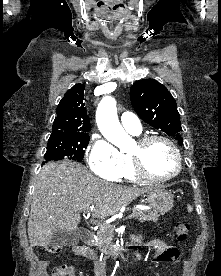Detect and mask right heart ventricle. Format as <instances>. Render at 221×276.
Here are the masks:
<instances>
[{"mask_svg": "<svg viewBox=\"0 0 221 276\" xmlns=\"http://www.w3.org/2000/svg\"><path fill=\"white\" fill-rule=\"evenodd\" d=\"M136 135V134H135ZM120 178H124L129 181H138L139 178L136 176L132 164L130 155H123V168Z\"/></svg>", "mask_w": 221, "mask_h": 276, "instance_id": "e07e8e85", "label": "right heart ventricle"}]
</instances>
